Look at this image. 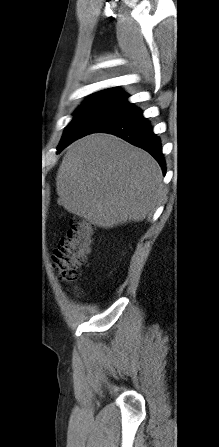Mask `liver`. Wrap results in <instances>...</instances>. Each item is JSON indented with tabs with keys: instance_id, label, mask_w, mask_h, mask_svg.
Returning <instances> with one entry per match:
<instances>
[{
	"instance_id": "obj_1",
	"label": "liver",
	"mask_w": 219,
	"mask_h": 447,
	"mask_svg": "<svg viewBox=\"0 0 219 447\" xmlns=\"http://www.w3.org/2000/svg\"><path fill=\"white\" fill-rule=\"evenodd\" d=\"M56 186L58 204L101 228L143 220L164 192L156 160L109 134L72 143L58 169Z\"/></svg>"
}]
</instances>
